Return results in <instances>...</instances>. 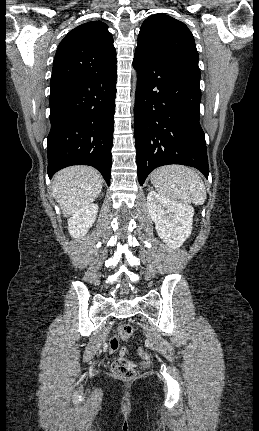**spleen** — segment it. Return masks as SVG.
Here are the masks:
<instances>
[{
	"instance_id": "3e777b00",
	"label": "spleen",
	"mask_w": 259,
	"mask_h": 431,
	"mask_svg": "<svg viewBox=\"0 0 259 431\" xmlns=\"http://www.w3.org/2000/svg\"><path fill=\"white\" fill-rule=\"evenodd\" d=\"M151 183L163 196L178 202L202 205L206 200V188L200 175L183 165H166L155 169Z\"/></svg>"
}]
</instances>
